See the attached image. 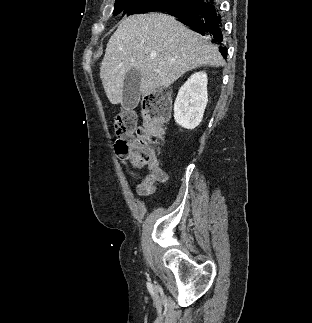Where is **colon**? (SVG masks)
Segmentation results:
<instances>
[{"label":"colon","instance_id":"1","mask_svg":"<svg viewBox=\"0 0 312 323\" xmlns=\"http://www.w3.org/2000/svg\"><path fill=\"white\" fill-rule=\"evenodd\" d=\"M167 92L158 90L150 97V108L142 125H137V115L127 108L114 118V134L117 137V158H131L138 166L158 167L154 147L163 140L166 113L162 110Z\"/></svg>","mask_w":312,"mask_h":323}]
</instances>
